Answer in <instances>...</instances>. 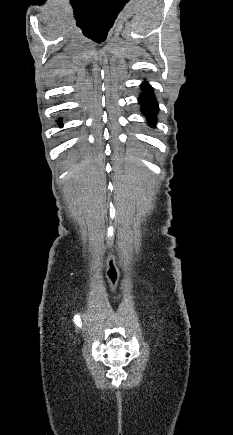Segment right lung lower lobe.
Listing matches in <instances>:
<instances>
[{"mask_svg":"<svg viewBox=\"0 0 233 435\" xmlns=\"http://www.w3.org/2000/svg\"><path fill=\"white\" fill-rule=\"evenodd\" d=\"M58 126H60V127H62V126H63V123H62V121H58Z\"/></svg>","mask_w":233,"mask_h":435,"instance_id":"1","label":"right lung lower lobe"}]
</instances>
